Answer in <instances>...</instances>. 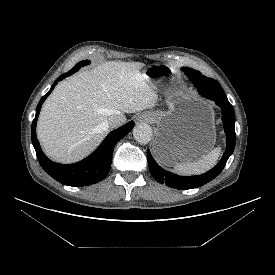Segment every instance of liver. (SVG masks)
I'll return each instance as SVG.
<instances>
[{"label": "liver", "instance_id": "obj_1", "mask_svg": "<svg viewBox=\"0 0 275 275\" xmlns=\"http://www.w3.org/2000/svg\"><path fill=\"white\" fill-rule=\"evenodd\" d=\"M140 62L107 61L60 82L40 112L37 136L48 157L72 163L109 131L107 119L153 107L156 95Z\"/></svg>", "mask_w": 275, "mask_h": 275}]
</instances>
